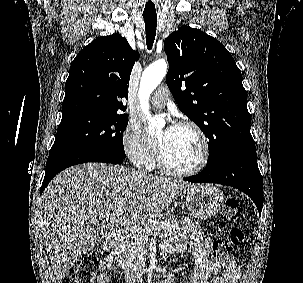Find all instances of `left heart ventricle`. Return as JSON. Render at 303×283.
I'll list each match as a JSON object with an SVG mask.
<instances>
[{"instance_id":"obj_1","label":"left heart ventricle","mask_w":303,"mask_h":283,"mask_svg":"<svg viewBox=\"0 0 303 283\" xmlns=\"http://www.w3.org/2000/svg\"><path fill=\"white\" fill-rule=\"evenodd\" d=\"M158 140L164 157L171 166L187 170L200 161V141L192 129L175 126L166 135L165 128H162L158 133Z\"/></svg>"}]
</instances>
